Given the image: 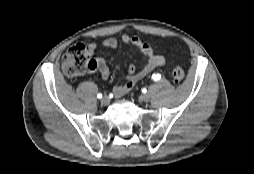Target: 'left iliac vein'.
<instances>
[{
	"instance_id": "obj_1",
	"label": "left iliac vein",
	"mask_w": 254,
	"mask_h": 174,
	"mask_svg": "<svg viewBox=\"0 0 254 174\" xmlns=\"http://www.w3.org/2000/svg\"><path fill=\"white\" fill-rule=\"evenodd\" d=\"M140 99H141L142 101H144V102H147V101H149L150 96H149V94H143V95L140 97Z\"/></svg>"
}]
</instances>
